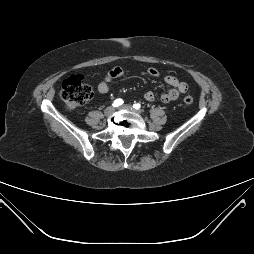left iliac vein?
I'll return each mask as SVG.
<instances>
[{
	"mask_svg": "<svg viewBox=\"0 0 254 254\" xmlns=\"http://www.w3.org/2000/svg\"><path fill=\"white\" fill-rule=\"evenodd\" d=\"M121 109H124V110H134L133 107L131 105H124L121 107ZM137 113H140V111H136Z\"/></svg>",
	"mask_w": 254,
	"mask_h": 254,
	"instance_id": "4c4485c4",
	"label": "left iliac vein"
}]
</instances>
